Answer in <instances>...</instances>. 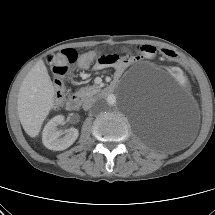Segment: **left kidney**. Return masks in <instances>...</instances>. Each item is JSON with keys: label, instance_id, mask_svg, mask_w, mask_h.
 <instances>
[{"label": "left kidney", "instance_id": "obj_1", "mask_svg": "<svg viewBox=\"0 0 215 215\" xmlns=\"http://www.w3.org/2000/svg\"><path fill=\"white\" fill-rule=\"evenodd\" d=\"M171 74L174 75L175 78H177V82L179 85L184 86L187 84L188 82V75L187 73L183 72L182 69L173 66L170 69Z\"/></svg>", "mask_w": 215, "mask_h": 215}]
</instances>
